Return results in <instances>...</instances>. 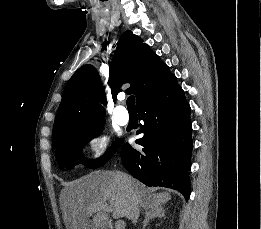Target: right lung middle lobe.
Here are the masks:
<instances>
[{
	"instance_id": "dd1d6c3e",
	"label": "right lung middle lobe",
	"mask_w": 261,
	"mask_h": 229,
	"mask_svg": "<svg viewBox=\"0 0 261 229\" xmlns=\"http://www.w3.org/2000/svg\"><path fill=\"white\" fill-rule=\"evenodd\" d=\"M104 123L93 125L73 126L64 129L65 139L56 148V158L59 166L63 170H70L77 164H84L89 168H99L103 166L115 153L116 149L123 143V139L116 140L112 149L108 150L97 160L87 161L82 156V147L97 136L102 130Z\"/></svg>"
}]
</instances>
